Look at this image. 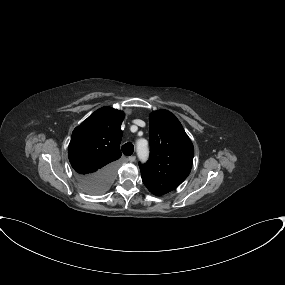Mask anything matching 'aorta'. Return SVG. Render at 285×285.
I'll return each instance as SVG.
<instances>
[{"instance_id":"aorta-1","label":"aorta","mask_w":285,"mask_h":285,"mask_svg":"<svg viewBox=\"0 0 285 285\" xmlns=\"http://www.w3.org/2000/svg\"><path fill=\"white\" fill-rule=\"evenodd\" d=\"M137 156L140 161L145 162L149 156V148L146 140L140 139L136 142Z\"/></svg>"}]
</instances>
